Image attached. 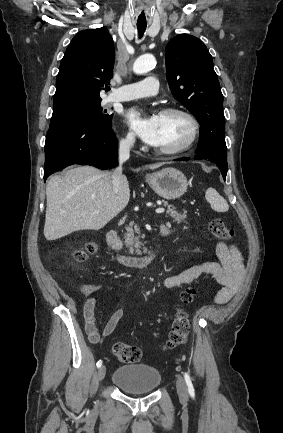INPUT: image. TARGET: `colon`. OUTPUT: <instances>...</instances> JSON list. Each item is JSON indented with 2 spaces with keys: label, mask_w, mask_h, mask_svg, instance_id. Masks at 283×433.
Instances as JSON below:
<instances>
[{
  "label": "colon",
  "mask_w": 283,
  "mask_h": 433,
  "mask_svg": "<svg viewBox=\"0 0 283 433\" xmlns=\"http://www.w3.org/2000/svg\"><path fill=\"white\" fill-rule=\"evenodd\" d=\"M209 230L211 234L220 240H229L233 237L234 231L230 228L223 220L219 218H212L208 223ZM96 250V245L94 243H88L83 249L76 251L75 258L79 261L86 260L92 253ZM91 291L90 286H84L83 292L89 293ZM194 288L185 289L181 295L180 300L182 304H189L192 302L195 296ZM190 331V321L188 314L183 308H179L175 314L172 327L169 333V339L167 342L168 348H175L183 345L188 338ZM113 354L119 361L122 362H136L142 356V351L140 348L129 345L123 342H117L112 348Z\"/></svg>",
  "instance_id": "5ec220e1"
}]
</instances>
